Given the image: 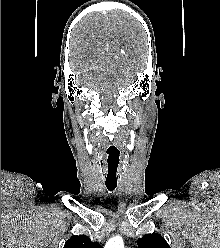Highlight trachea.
<instances>
[{
	"label": "trachea",
	"instance_id": "obj_1",
	"mask_svg": "<svg viewBox=\"0 0 220 248\" xmlns=\"http://www.w3.org/2000/svg\"><path fill=\"white\" fill-rule=\"evenodd\" d=\"M106 187H107V189L109 191H113L117 187V184H108V183H106Z\"/></svg>",
	"mask_w": 220,
	"mask_h": 248
}]
</instances>
